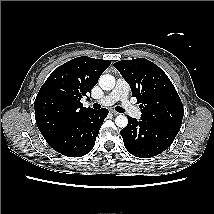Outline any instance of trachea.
<instances>
[{
    "label": "trachea",
    "mask_w": 214,
    "mask_h": 214,
    "mask_svg": "<svg viewBox=\"0 0 214 214\" xmlns=\"http://www.w3.org/2000/svg\"><path fill=\"white\" fill-rule=\"evenodd\" d=\"M93 108H95V109H100L101 106H100L99 104L95 103V104H93ZM115 110H116L117 112H119V113L125 112V110H124L122 107H119V106L115 107Z\"/></svg>",
    "instance_id": "3493384b"
}]
</instances>
